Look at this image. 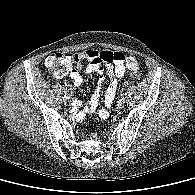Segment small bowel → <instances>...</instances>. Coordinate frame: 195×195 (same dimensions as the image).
<instances>
[{
	"mask_svg": "<svg viewBox=\"0 0 195 195\" xmlns=\"http://www.w3.org/2000/svg\"><path fill=\"white\" fill-rule=\"evenodd\" d=\"M68 55L71 58V67L74 65L70 72V78L75 87L80 86L83 82L82 72L86 74L98 73L100 75L90 102L85 106H82L79 101L76 102L78 108L82 107V111L78 110L76 112L77 117L81 119L84 114L96 112L99 117L107 118L117 92L119 80L124 76L126 70L138 69L136 58L121 52L91 49ZM84 61H87L88 64L85 65ZM106 78L108 86L103 97V107L97 108L101 87Z\"/></svg>",
	"mask_w": 195,
	"mask_h": 195,
	"instance_id": "c3829d8e",
	"label": "small bowel"
}]
</instances>
